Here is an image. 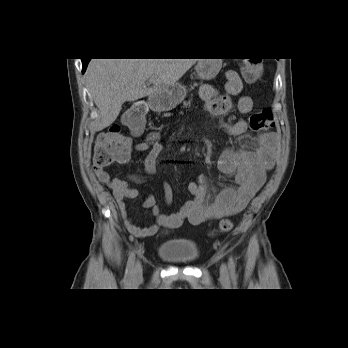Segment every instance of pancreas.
Wrapping results in <instances>:
<instances>
[{
	"mask_svg": "<svg viewBox=\"0 0 348 348\" xmlns=\"http://www.w3.org/2000/svg\"><path fill=\"white\" fill-rule=\"evenodd\" d=\"M195 86H197L196 83L193 86H191L190 90L194 89Z\"/></svg>",
	"mask_w": 348,
	"mask_h": 348,
	"instance_id": "pancreas-1",
	"label": "pancreas"
}]
</instances>
